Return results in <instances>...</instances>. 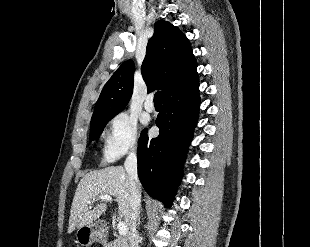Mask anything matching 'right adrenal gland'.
Listing matches in <instances>:
<instances>
[{
  "instance_id": "1",
  "label": "right adrenal gland",
  "mask_w": 310,
  "mask_h": 247,
  "mask_svg": "<svg viewBox=\"0 0 310 247\" xmlns=\"http://www.w3.org/2000/svg\"><path fill=\"white\" fill-rule=\"evenodd\" d=\"M140 220H141V216H140V212H139V214H138V226L140 224Z\"/></svg>"
}]
</instances>
